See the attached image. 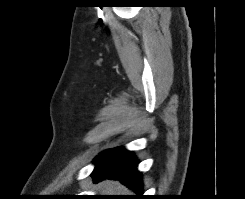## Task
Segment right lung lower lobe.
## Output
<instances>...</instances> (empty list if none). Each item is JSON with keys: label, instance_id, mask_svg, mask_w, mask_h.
I'll use <instances>...</instances> for the list:
<instances>
[{"label": "right lung lower lobe", "instance_id": "1", "mask_svg": "<svg viewBox=\"0 0 245 199\" xmlns=\"http://www.w3.org/2000/svg\"><path fill=\"white\" fill-rule=\"evenodd\" d=\"M96 166L91 176L95 182L103 179L120 180L130 189L142 191L141 174L136 170L138 160L131 151L113 148L96 157Z\"/></svg>", "mask_w": 245, "mask_h": 199}]
</instances>
